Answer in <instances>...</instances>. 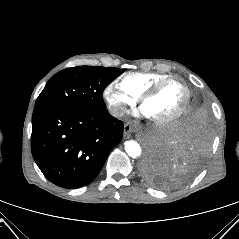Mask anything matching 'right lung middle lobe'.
Here are the masks:
<instances>
[{
    "instance_id": "dd1d6c3e",
    "label": "right lung middle lobe",
    "mask_w": 239,
    "mask_h": 239,
    "mask_svg": "<svg viewBox=\"0 0 239 239\" xmlns=\"http://www.w3.org/2000/svg\"><path fill=\"white\" fill-rule=\"evenodd\" d=\"M123 73L119 68L78 66L61 70L46 84L34 110L49 107L105 109L104 89Z\"/></svg>"
}]
</instances>
